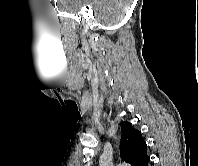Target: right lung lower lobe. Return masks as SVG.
<instances>
[{
  "label": "right lung lower lobe",
  "instance_id": "obj_1",
  "mask_svg": "<svg viewBox=\"0 0 198 166\" xmlns=\"http://www.w3.org/2000/svg\"><path fill=\"white\" fill-rule=\"evenodd\" d=\"M149 160H150V158H148V159L146 160V162L143 164V166H147V165H148Z\"/></svg>",
  "mask_w": 198,
  "mask_h": 166
}]
</instances>
